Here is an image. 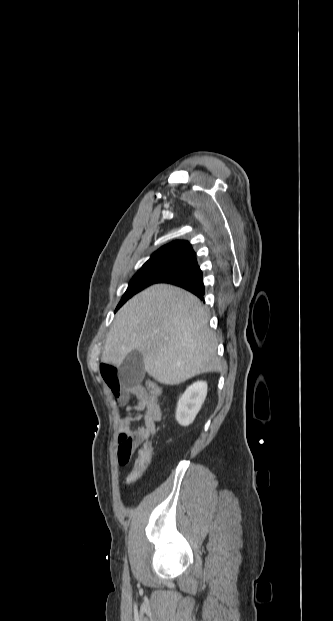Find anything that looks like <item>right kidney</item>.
<instances>
[{"mask_svg": "<svg viewBox=\"0 0 333 621\" xmlns=\"http://www.w3.org/2000/svg\"><path fill=\"white\" fill-rule=\"evenodd\" d=\"M206 396L207 383L204 381L195 382L186 389L176 408V420L181 426H188L194 421Z\"/></svg>", "mask_w": 333, "mask_h": 621, "instance_id": "right-kidney-1", "label": "right kidney"}]
</instances>
